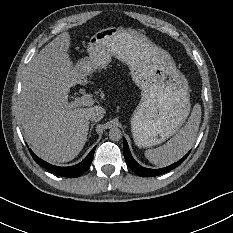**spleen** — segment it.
I'll list each match as a JSON object with an SVG mask.
<instances>
[{"instance_id": "1", "label": "spleen", "mask_w": 233, "mask_h": 233, "mask_svg": "<svg viewBox=\"0 0 233 233\" xmlns=\"http://www.w3.org/2000/svg\"><path fill=\"white\" fill-rule=\"evenodd\" d=\"M201 121V105L196 103L186 124L165 145L146 152L148 159L159 167L180 160L193 146Z\"/></svg>"}]
</instances>
